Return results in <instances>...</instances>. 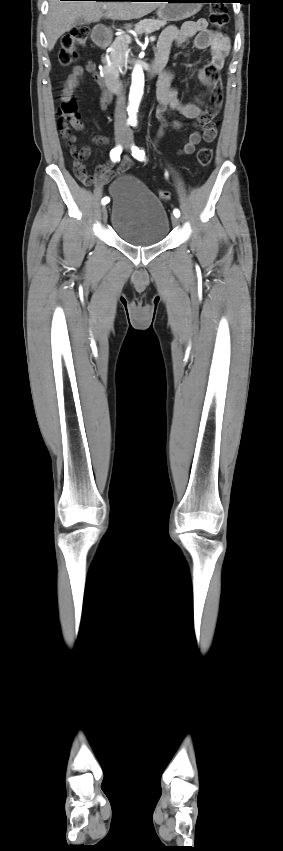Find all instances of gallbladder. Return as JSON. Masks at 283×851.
I'll return each instance as SVG.
<instances>
[{"mask_svg":"<svg viewBox=\"0 0 283 851\" xmlns=\"http://www.w3.org/2000/svg\"><path fill=\"white\" fill-rule=\"evenodd\" d=\"M84 23H86V21L83 18H77L74 22L75 25H82Z\"/></svg>","mask_w":283,"mask_h":851,"instance_id":"gallbladder-1","label":"gallbladder"}]
</instances>
